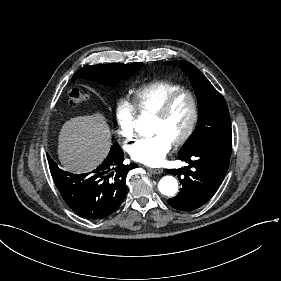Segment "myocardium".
<instances>
[{
	"label": "myocardium",
	"mask_w": 281,
	"mask_h": 281,
	"mask_svg": "<svg viewBox=\"0 0 281 281\" xmlns=\"http://www.w3.org/2000/svg\"><path fill=\"white\" fill-rule=\"evenodd\" d=\"M182 97H187L189 99L190 106H191V116L188 126L183 132V134L172 140V144L177 146L187 142L189 138L192 136V134L194 133V130L196 128L198 117H199V110H198V103L195 96L190 91L187 90L176 92L171 96H169L157 110L149 114V116L156 119L164 118L169 112L172 105L175 103V101H177L179 98Z\"/></svg>",
	"instance_id": "f54148a6"
}]
</instances>
